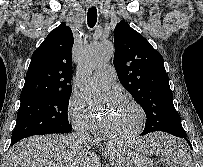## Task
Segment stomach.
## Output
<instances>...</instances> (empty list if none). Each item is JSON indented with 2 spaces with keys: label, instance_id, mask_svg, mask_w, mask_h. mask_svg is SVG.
Instances as JSON below:
<instances>
[{
  "label": "stomach",
  "instance_id": "obj_1",
  "mask_svg": "<svg viewBox=\"0 0 203 167\" xmlns=\"http://www.w3.org/2000/svg\"><path fill=\"white\" fill-rule=\"evenodd\" d=\"M143 151L147 152L145 148ZM114 167H153V163L145 156L129 151L117 158Z\"/></svg>",
  "mask_w": 203,
  "mask_h": 167
}]
</instances>
